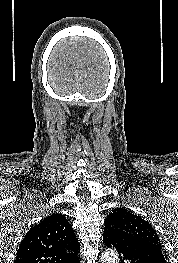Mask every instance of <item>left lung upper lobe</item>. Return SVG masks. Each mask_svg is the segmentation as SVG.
<instances>
[{
  "instance_id": "5c2ea615",
  "label": "left lung upper lobe",
  "mask_w": 178,
  "mask_h": 263,
  "mask_svg": "<svg viewBox=\"0 0 178 263\" xmlns=\"http://www.w3.org/2000/svg\"><path fill=\"white\" fill-rule=\"evenodd\" d=\"M105 224H110L121 232L161 247L160 239L151 224L123 208L114 209L107 216Z\"/></svg>"
}]
</instances>
